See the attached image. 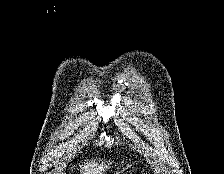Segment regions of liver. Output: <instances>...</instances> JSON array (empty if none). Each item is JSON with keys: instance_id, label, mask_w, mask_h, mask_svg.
Listing matches in <instances>:
<instances>
[{"instance_id": "liver-1", "label": "liver", "mask_w": 224, "mask_h": 174, "mask_svg": "<svg viewBox=\"0 0 224 174\" xmlns=\"http://www.w3.org/2000/svg\"><path fill=\"white\" fill-rule=\"evenodd\" d=\"M106 168V165L104 162L99 164L95 160H92L91 162H87L86 165L81 167L82 174H100V172L104 171Z\"/></svg>"}]
</instances>
